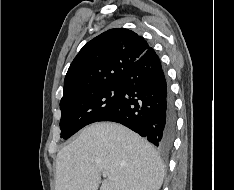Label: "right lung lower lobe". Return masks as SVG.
<instances>
[{
	"mask_svg": "<svg viewBox=\"0 0 234 190\" xmlns=\"http://www.w3.org/2000/svg\"><path fill=\"white\" fill-rule=\"evenodd\" d=\"M120 95L98 121L121 123L162 150L172 146L175 111L159 57L149 48L122 75Z\"/></svg>",
	"mask_w": 234,
	"mask_h": 190,
	"instance_id": "1",
	"label": "right lung lower lobe"
}]
</instances>
